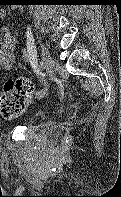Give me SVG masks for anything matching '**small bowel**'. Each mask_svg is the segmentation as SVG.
I'll list each match as a JSON object with an SVG mask.
<instances>
[{
	"label": "small bowel",
	"mask_w": 121,
	"mask_h": 197,
	"mask_svg": "<svg viewBox=\"0 0 121 197\" xmlns=\"http://www.w3.org/2000/svg\"><path fill=\"white\" fill-rule=\"evenodd\" d=\"M6 16L5 9H0V20ZM18 43V38L12 34L7 27L0 26V68L10 69L16 59L14 56V49ZM24 61L29 60L28 52L24 50L23 56ZM47 92V87H43L40 90L34 88L33 94L31 95L36 98H42Z\"/></svg>",
	"instance_id": "c3829d8e"
}]
</instances>
